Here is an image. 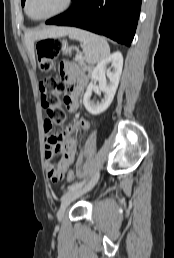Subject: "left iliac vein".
I'll return each mask as SVG.
<instances>
[{"instance_id": "1", "label": "left iliac vein", "mask_w": 174, "mask_h": 258, "mask_svg": "<svg viewBox=\"0 0 174 258\" xmlns=\"http://www.w3.org/2000/svg\"><path fill=\"white\" fill-rule=\"evenodd\" d=\"M98 176H99V174L97 173L94 176V178L92 179V181L89 184H87L86 186L80 187V188H77L74 190H70L62 196L61 206L57 213V218L59 221H61L63 219L66 209L72 201L76 200L77 198L82 196L84 193L88 192L90 189L93 188V186L96 184V182L98 180Z\"/></svg>"}]
</instances>
